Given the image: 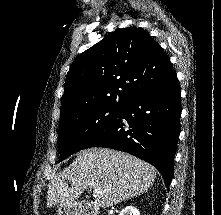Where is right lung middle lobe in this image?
<instances>
[{"label": "right lung middle lobe", "instance_id": "obj_1", "mask_svg": "<svg viewBox=\"0 0 221 215\" xmlns=\"http://www.w3.org/2000/svg\"><path fill=\"white\" fill-rule=\"evenodd\" d=\"M119 109L99 107L70 114L59 122V162L73 154L87 138L108 127Z\"/></svg>", "mask_w": 221, "mask_h": 215}]
</instances>
